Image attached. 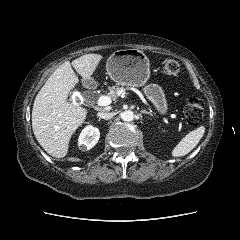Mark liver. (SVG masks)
I'll return each instance as SVG.
<instances>
[{
	"label": "liver",
	"mask_w": 240,
	"mask_h": 240,
	"mask_svg": "<svg viewBox=\"0 0 240 240\" xmlns=\"http://www.w3.org/2000/svg\"><path fill=\"white\" fill-rule=\"evenodd\" d=\"M102 58V55L92 53L72 63L65 61L38 92L32 109V129L49 155L56 158L67 155L70 139L88 113L84 107L67 101L69 92L79 82L72 66L86 81L94 74Z\"/></svg>",
	"instance_id": "6515ba94"
}]
</instances>
